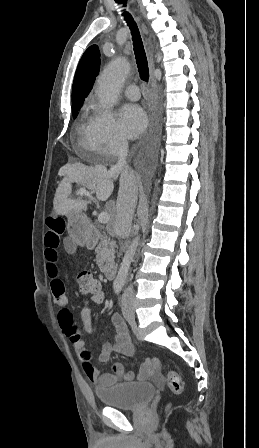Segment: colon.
Listing matches in <instances>:
<instances>
[{
  "label": "colon",
  "mask_w": 259,
  "mask_h": 448,
  "mask_svg": "<svg viewBox=\"0 0 259 448\" xmlns=\"http://www.w3.org/2000/svg\"><path fill=\"white\" fill-rule=\"evenodd\" d=\"M78 292L82 296H93L101 292L99 281L88 271L81 272L77 277ZM167 382L171 391L180 394L183 390V382L180 375L174 371L167 372Z\"/></svg>",
  "instance_id": "5ec220e1"
}]
</instances>
